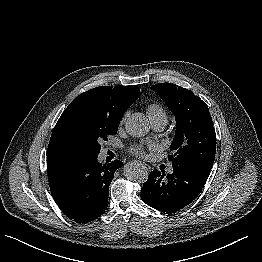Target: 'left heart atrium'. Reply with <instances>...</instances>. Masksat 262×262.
Returning <instances> with one entry per match:
<instances>
[{
  "label": "left heart atrium",
  "mask_w": 262,
  "mask_h": 262,
  "mask_svg": "<svg viewBox=\"0 0 262 262\" xmlns=\"http://www.w3.org/2000/svg\"><path fill=\"white\" fill-rule=\"evenodd\" d=\"M132 152L136 155H144V147L142 145H135L131 148Z\"/></svg>",
  "instance_id": "1"
}]
</instances>
